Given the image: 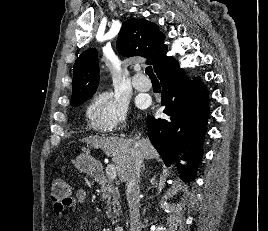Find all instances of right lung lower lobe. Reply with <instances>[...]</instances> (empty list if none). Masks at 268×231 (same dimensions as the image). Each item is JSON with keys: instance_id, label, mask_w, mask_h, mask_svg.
Here are the masks:
<instances>
[{"instance_id": "obj_1", "label": "right lung lower lobe", "mask_w": 268, "mask_h": 231, "mask_svg": "<svg viewBox=\"0 0 268 231\" xmlns=\"http://www.w3.org/2000/svg\"><path fill=\"white\" fill-rule=\"evenodd\" d=\"M158 78L163 88L161 105L168 117L155 120L148 116L149 137L167 166L187 146L188 166L177 164L182 178L189 182L195 178L202 157L201 144L209 115L208 92L200 82H189L178 63L163 70Z\"/></svg>"}]
</instances>
